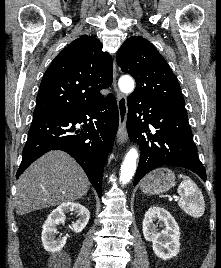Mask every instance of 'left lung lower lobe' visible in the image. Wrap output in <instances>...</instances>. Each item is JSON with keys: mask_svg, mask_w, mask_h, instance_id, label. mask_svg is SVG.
<instances>
[{"mask_svg": "<svg viewBox=\"0 0 221 268\" xmlns=\"http://www.w3.org/2000/svg\"><path fill=\"white\" fill-rule=\"evenodd\" d=\"M127 101L128 135L140 146L134 185L162 165L187 168L206 181V171L197 155L185 106L154 102L132 94Z\"/></svg>", "mask_w": 221, "mask_h": 268, "instance_id": "1", "label": "left lung lower lobe"}]
</instances>
